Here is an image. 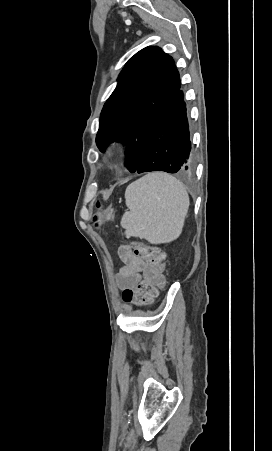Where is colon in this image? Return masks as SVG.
Masks as SVG:
<instances>
[{
	"label": "colon",
	"instance_id": "5ec220e1",
	"mask_svg": "<svg viewBox=\"0 0 272 451\" xmlns=\"http://www.w3.org/2000/svg\"><path fill=\"white\" fill-rule=\"evenodd\" d=\"M100 211L95 215V225L101 226L102 218L113 219L115 217L114 212L110 211V208H102L98 205ZM135 249H131V258H146L162 260L165 258V254L155 246L147 247L144 243L137 242L133 244ZM125 246H123L124 248ZM157 271L153 267L147 274L145 280L132 288L125 289L122 293V301L127 304L146 305L156 295L157 288Z\"/></svg>",
	"mask_w": 272,
	"mask_h": 451
}]
</instances>
